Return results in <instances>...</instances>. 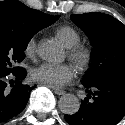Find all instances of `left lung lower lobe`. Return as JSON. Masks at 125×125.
Listing matches in <instances>:
<instances>
[{
  "label": "left lung lower lobe",
  "mask_w": 125,
  "mask_h": 125,
  "mask_svg": "<svg viewBox=\"0 0 125 125\" xmlns=\"http://www.w3.org/2000/svg\"><path fill=\"white\" fill-rule=\"evenodd\" d=\"M84 87L93 100L89 102L87 95L78 112L64 116L70 125H116L125 116V78H106Z\"/></svg>",
  "instance_id": "left-lung-lower-lobe-1"
}]
</instances>
